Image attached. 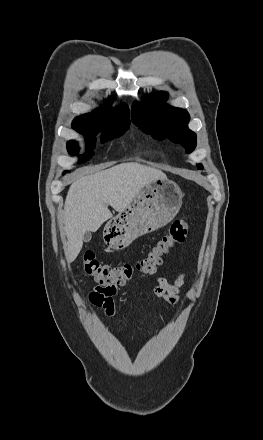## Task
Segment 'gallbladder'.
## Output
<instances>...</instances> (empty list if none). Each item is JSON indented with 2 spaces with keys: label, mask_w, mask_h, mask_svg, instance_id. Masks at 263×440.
<instances>
[{
  "label": "gallbladder",
  "mask_w": 263,
  "mask_h": 440,
  "mask_svg": "<svg viewBox=\"0 0 263 440\" xmlns=\"http://www.w3.org/2000/svg\"><path fill=\"white\" fill-rule=\"evenodd\" d=\"M90 240H91V233H90V232H86V233L83 235V241L86 242V243H88Z\"/></svg>",
  "instance_id": "obj_1"
}]
</instances>
